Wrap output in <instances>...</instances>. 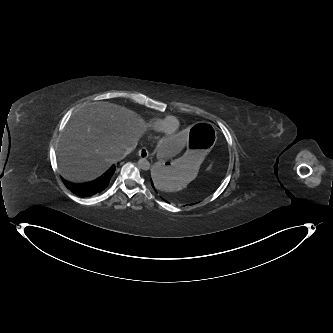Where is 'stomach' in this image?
Returning a JSON list of instances; mask_svg holds the SVG:
<instances>
[{
	"mask_svg": "<svg viewBox=\"0 0 333 333\" xmlns=\"http://www.w3.org/2000/svg\"><path fill=\"white\" fill-rule=\"evenodd\" d=\"M216 141L217 133L210 123H196L191 128L187 152L179 159L154 163L150 169L151 183L162 192L181 190L197 176L199 165Z\"/></svg>",
	"mask_w": 333,
	"mask_h": 333,
	"instance_id": "obj_1",
	"label": "stomach"
}]
</instances>
